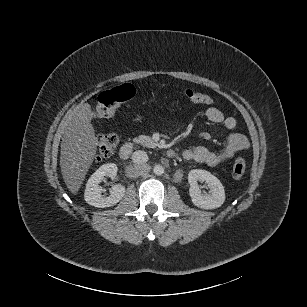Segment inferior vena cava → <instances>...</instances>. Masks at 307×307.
Listing matches in <instances>:
<instances>
[{"mask_svg":"<svg viewBox=\"0 0 307 307\" xmlns=\"http://www.w3.org/2000/svg\"><path fill=\"white\" fill-rule=\"evenodd\" d=\"M132 161L135 164H143L148 162V155L144 151H136L132 155Z\"/></svg>","mask_w":307,"mask_h":307,"instance_id":"602c4592","label":"inferior vena cava"}]
</instances>
